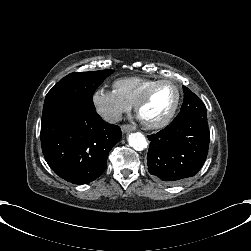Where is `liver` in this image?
I'll list each match as a JSON object with an SVG mask.
<instances>
[{
	"label": "liver",
	"mask_w": 251,
	"mask_h": 251,
	"mask_svg": "<svg viewBox=\"0 0 251 251\" xmlns=\"http://www.w3.org/2000/svg\"><path fill=\"white\" fill-rule=\"evenodd\" d=\"M63 111L66 112V111H67V108L63 107Z\"/></svg>",
	"instance_id": "1"
}]
</instances>
